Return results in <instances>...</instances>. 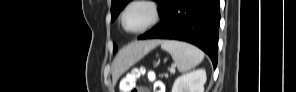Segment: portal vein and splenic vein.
Listing matches in <instances>:
<instances>
[{
    "label": "portal vein and splenic vein",
    "mask_w": 296,
    "mask_h": 92,
    "mask_svg": "<svg viewBox=\"0 0 296 92\" xmlns=\"http://www.w3.org/2000/svg\"><path fill=\"white\" fill-rule=\"evenodd\" d=\"M170 72H171V73H175V68H174V67H171V68H170Z\"/></svg>",
    "instance_id": "portal-vein-and-splenic-vein-1"
}]
</instances>
